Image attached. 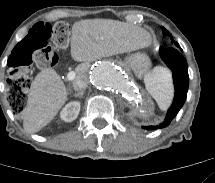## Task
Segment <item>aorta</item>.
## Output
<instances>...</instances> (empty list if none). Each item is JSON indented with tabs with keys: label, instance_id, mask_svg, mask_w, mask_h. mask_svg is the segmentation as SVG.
<instances>
[{
	"label": "aorta",
	"instance_id": "1",
	"mask_svg": "<svg viewBox=\"0 0 215 183\" xmlns=\"http://www.w3.org/2000/svg\"><path fill=\"white\" fill-rule=\"evenodd\" d=\"M89 79L97 89L118 94L137 106L139 110L145 107L137 87L118 66L109 62L98 63L90 70Z\"/></svg>",
	"mask_w": 215,
	"mask_h": 183
}]
</instances>
